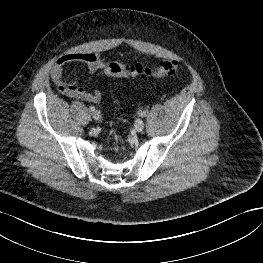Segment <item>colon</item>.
I'll use <instances>...</instances> for the list:
<instances>
[{"label":"colon","instance_id":"1","mask_svg":"<svg viewBox=\"0 0 263 263\" xmlns=\"http://www.w3.org/2000/svg\"><path fill=\"white\" fill-rule=\"evenodd\" d=\"M178 68L179 64L175 60H161L154 67L144 66L139 63L125 65L118 61H112L104 64L99 72L108 76L123 78L149 77L162 79L174 75Z\"/></svg>","mask_w":263,"mask_h":263}]
</instances>
